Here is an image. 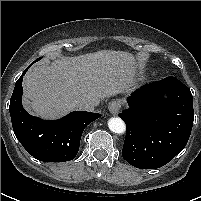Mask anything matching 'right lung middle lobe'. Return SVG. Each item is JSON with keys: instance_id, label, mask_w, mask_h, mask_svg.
Wrapping results in <instances>:
<instances>
[{"instance_id": "obj_1", "label": "right lung middle lobe", "mask_w": 201, "mask_h": 201, "mask_svg": "<svg viewBox=\"0 0 201 201\" xmlns=\"http://www.w3.org/2000/svg\"><path fill=\"white\" fill-rule=\"evenodd\" d=\"M40 58H38L37 60H35L34 62L38 61Z\"/></svg>"}]
</instances>
